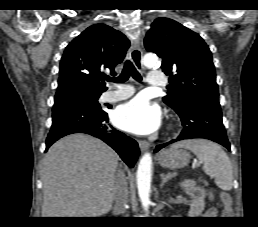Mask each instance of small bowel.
<instances>
[{"label":"small bowel","mask_w":258,"mask_h":227,"mask_svg":"<svg viewBox=\"0 0 258 227\" xmlns=\"http://www.w3.org/2000/svg\"><path fill=\"white\" fill-rule=\"evenodd\" d=\"M209 198L212 200V199H213L212 195H209ZM205 215H206L207 217H215V216H217V210H216V208H214V207L209 208V209L205 212Z\"/></svg>","instance_id":"obj_1"}]
</instances>
